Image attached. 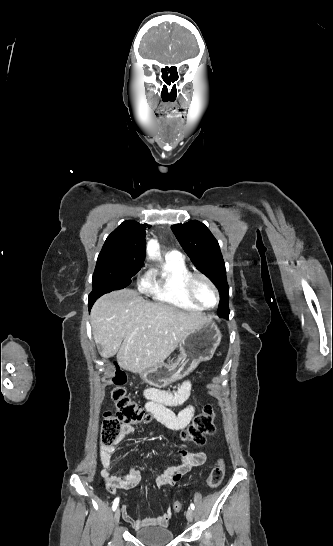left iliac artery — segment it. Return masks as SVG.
Wrapping results in <instances>:
<instances>
[{"mask_svg": "<svg viewBox=\"0 0 333 546\" xmlns=\"http://www.w3.org/2000/svg\"><path fill=\"white\" fill-rule=\"evenodd\" d=\"M190 507H191V509H192V510H194V509H195V506H194V504H193V503H191V504H190Z\"/></svg>", "mask_w": 333, "mask_h": 546, "instance_id": "left-iliac-artery-1", "label": "left iliac artery"}]
</instances>
